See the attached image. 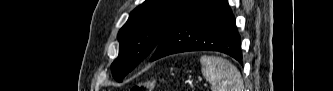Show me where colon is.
<instances>
[{
    "label": "colon",
    "instance_id": "5ec220e1",
    "mask_svg": "<svg viewBox=\"0 0 333 91\" xmlns=\"http://www.w3.org/2000/svg\"><path fill=\"white\" fill-rule=\"evenodd\" d=\"M155 85V81H145L134 85L131 91H152Z\"/></svg>",
    "mask_w": 333,
    "mask_h": 91
}]
</instances>
